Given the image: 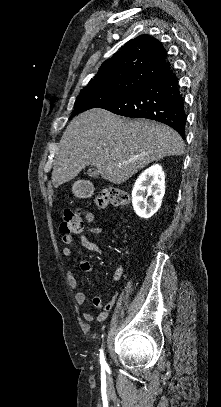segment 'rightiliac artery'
<instances>
[{
	"label": "right iliac artery",
	"mask_w": 221,
	"mask_h": 407,
	"mask_svg": "<svg viewBox=\"0 0 221 407\" xmlns=\"http://www.w3.org/2000/svg\"><path fill=\"white\" fill-rule=\"evenodd\" d=\"M100 364L102 367H105L107 365L105 358H104V352L103 350L100 351Z\"/></svg>",
	"instance_id": "obj_1"
}]
</instances>
